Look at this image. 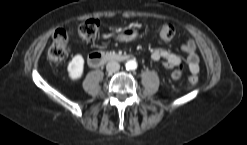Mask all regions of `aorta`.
I'll return each instance as SVG.
<instances>
[{
	"instance_id": "aorta-1",
	"label": "aorta",
	"mask_w": 247,
	"mask_h": 145,
	"mask_svg": "<svg viewBox=\"0 0 247 145\" xmlns=\"http://www.w3.org/2000/svg\"><path fill=\"white\" fill-rule=\"evenodd\" d=\"M127 70H134L137 68V62L135 60H129L125 64Z\"/></svg>"
}]
</instances>
